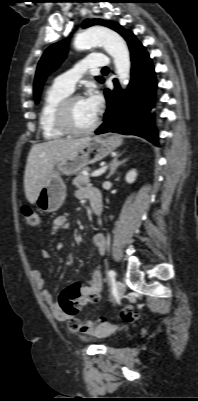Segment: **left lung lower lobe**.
<instances>
[{
    "mask_svg": "<svg viewBox=\"0 0 198 401\" xmlns=\"http://www.w3.org/2000/svg\"><path fill=\"white\" fill-rule=\"evenodd\" d=\"M124 38L131 54V81L125 91L116 79L115 89L105 90L107 110L103 124L95 133L138 135L158 145L150 114L156 88L154 66L146 49L131 31Z\"/></svg>",
    "mask_w": 198,
    "mask_h": 401,
    "instance_id": "0a47b994",
    "label": "left lung lower lobe"
}]
</instances>
